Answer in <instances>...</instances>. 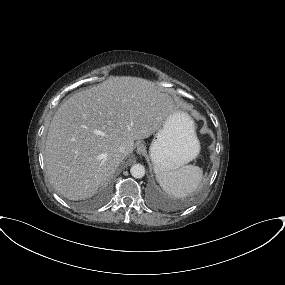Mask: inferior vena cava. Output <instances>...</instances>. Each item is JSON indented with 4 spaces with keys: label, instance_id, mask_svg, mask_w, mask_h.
<instances>
[{
    "label": "inferior vena cava",
    "instance_id": "inferior-vena-cava-1",
    "mask_svg": "<svg viewBox=\"0 0 285 285\" xmlns=\"http://www.w3.org/2000/svg\"><path fill=\"white\" fill-rule=\"evenodd\" d=\"M126 154H127L126 148L124 146L120 147L119 148V155H120V157L124 158L126 156Z\"/></svg>",
    "mask_w": 285,
    "mask_h": 285
}]
</instances>
